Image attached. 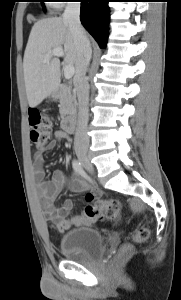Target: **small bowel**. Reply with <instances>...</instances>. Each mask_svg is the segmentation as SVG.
I'll use <instances>...</instances> for the list:
<instances>
[{"instance_id":"obj_1","label":"small bowel","mask_w":181,"mask_h":300,"mask_svg":"<svg viewBox=\"0 0 181 300\" xmlns=\"http://www.w3.org/2000/svg\"><path fill=\"white\" fill-rule=\"evenodd\" d=\"M68 138L69 137L62 130L55 131L53 139L46 149L38 151L34 156V177L47 220L56 225L60 231H66L72 227L87 226L95 223V220L88 218L84 214L69 216L73 209V202L71 200H65L60 207L55 205V199L67 182L66 175L62 170H54L51 177L46 179V173L43 168L44 152L53 150L57 141ZM70 185L71 190L77 193L87 189L86 182L79 177L72 178ZM98 195L99 191L93 190L86 194L85 199L87 202H92Z\"/></svg>"}]
</instances>
